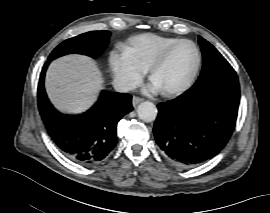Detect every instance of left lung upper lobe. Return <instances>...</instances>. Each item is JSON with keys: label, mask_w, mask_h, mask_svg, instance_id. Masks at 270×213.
I'll return each mask as SVG.
<instances>
[{"label": "left lung upper lobe", "mask_w": 270, "mask_h": 213, "mask_svg": "<svg viewBox=\"0 0 270 213\" xmlns=\"http://www.w3.org/2000/svg\"><path fill=\"white\" fill-rule=\"evenodd\" d=\"M199 44L202 49L204 65L198 80L188 91H193L214 79L234 71L226 59L208 41L199 37Z\"/></svg>", "instance_id": "5c2ea615"}]
</instances>
